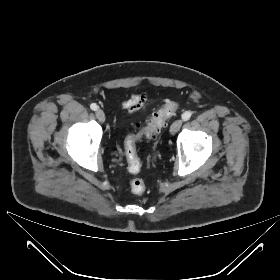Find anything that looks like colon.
<instances>
[{"instance_id": "obj_1", "label": "colon", "mask_w": 280, "mask_h": 280, "mask_svg": "<svg viewBox=\"0 0 280 280\" xmlns=\"http://www.w3.org/2000/svg\"><path fill=\"white\" fill-rule=\"evenodd\" d=\"M179 108L178 102H169L163 107L157 109L150 120L144 126H137V132L130 134L124 141V152L128 161V168L131 172L137 173L140 170L141 163L136 151V143L142 138L155 139L156 135L164 127L166 120L171 118ZM145 183L142 179H133L130 183L131 192L135 195H141L145 191Z\"/></svg>"}]
</instances>
